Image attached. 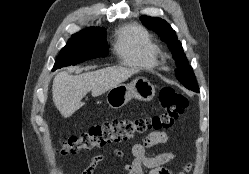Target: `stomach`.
Returning <instances> with one entry per match:
<instances>
[{
	"label": "stomach",
	"mask_w": 249,
	"mask_h": 174,
	"mask_svg": "<svg viewBox=\"0 0 249 174\" xmlns=\"http://www.w3.org/2000/svg\"><path fill=\"white\" fill-rule=\"evenodd\" d=\"M154 95V86L146 78L138 77L129 84L121 83L111 88L106 95V100L110 107L120 108L132 98L150 101Z\"/></svg>",
	"instance_id": "0dacf381"
}]
</instances>
